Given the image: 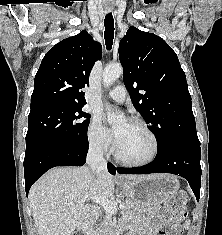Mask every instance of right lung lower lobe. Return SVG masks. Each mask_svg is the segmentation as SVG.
<instances>
[{"instance_id": "98d812e1", "label": "right lung lower lobe", "mask_w": 222, "mask_h": 235, "mask_svg": "<svg viewBox=\"0 0 222 235\" xmlns=\"http://www.w3.org/2000/svg\"><path fill=\"white\" fill-rule=\"evenodd\" d=\"M88 147L49 146L36 150L24 159L26 194L32 184L47 170L56 166H82L86 162ZM110 165V164H109ZM108 168L111 174L116 173L113 165Z\"/></svg>"}]
</instances>
